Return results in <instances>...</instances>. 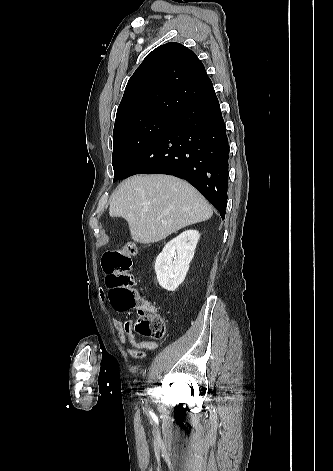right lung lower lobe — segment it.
I'll return each instance as SVG.
<instances>
[{
    "mask_svg": "<svg viewBox=\"0 0 333 471\" xmlns=\"http://www.w3.org/2000/svg\"><path fill=\"white\" fill-rule=\"evenodd\" d=\"M229 146L214 88L183 108L118 179L167 174L187 180L225 218Z\"/></svg>",
    "mask_w": 333,
    "mask_h": 471,
    "instance_id": "obj_1",
    "label": "right lung lower lobe"
}]
</instances>
